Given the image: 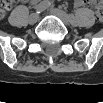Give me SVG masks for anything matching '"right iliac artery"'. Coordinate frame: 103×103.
Segmentation results:
<instances>
[{
	"label": "right iliac artery",
	"instance_id": "obj_1",
	"mask_svg": "<svg viewBox=\"0 0 103 103\" xmlns=\"http://www.w3.org/2000/svg\"><path fill=\"white\" fill-rule=\"evenodd\" d=\"M49 6H50L49 1H42L41 3L35 6L36 13L37 14L41 13L42 11L47 9Z\"/></svg>",
	"mask_w": 103,
	"mask_h": 103
}]
</instances>
